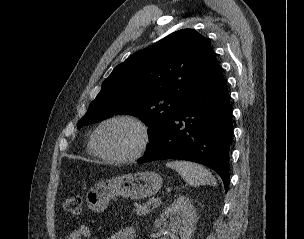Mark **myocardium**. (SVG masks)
<instances>
[{
	"label": "myocardium",
	"mask_w": 304,
	"mask_h": 239,
	"mask_svg": "<svg viewBox=\"0 0 304 239\" xmlns=\"http://www.w3.org/2000/svg\"><path fill=\"white\" fill-rule=\"evenodd\" d=\"M113 122H128L135 125L140 132V141L138 146L130 153L124 155H111L103 152L98 145L97 137L99 131L106 125ZM151 140L150 128L141 118L131 114H118L104 119L100 122L90 138L92 149L100 158L113 163H127L140 158L147 150Z\"/></svg>",
	"instance_id": "obj_1"
}]
</instances>
